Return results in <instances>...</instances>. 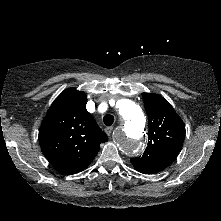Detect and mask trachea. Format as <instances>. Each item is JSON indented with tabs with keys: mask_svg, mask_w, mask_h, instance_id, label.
Listing matches in <instances>:
<instances>
[{
	"mask_svg": "<svg viewBox=\"0 0 221 221\" xmlns=\"http://www.w3.org/2000/svg\"><path fill=\"white\" fill-rule=\"evenodd\" d=\"M103 122L106 126H111L114 123V116L112 115H105L103 117Z\"/></svg>",
	"mask_w": 221,
	"mask_h": 221,
	"instance_id": "3493384b",
	"label": "trachea"
}]
</instances>
